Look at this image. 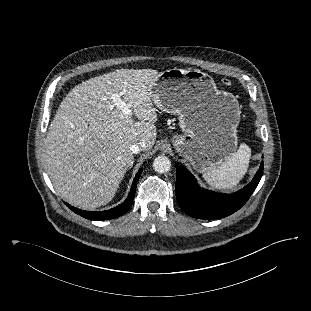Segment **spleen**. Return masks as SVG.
<instances>
[{"mask_svg": "<svg viewBox=\"0 0 311 311\" xmlns=\"http://www.w3.org/2000/svg\"><path fill=\"white\" fill-rule=\"evenodd\" d=\"M251 149L241 144L239 149L221 166L204 171L202 176L209 186L217 190H232L246 174Z\"/></svg>", "mask_w": 311, "mask_h": 311, "instance_id": "obj_1", "label": "spleen"}]
</instances>
